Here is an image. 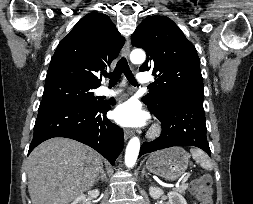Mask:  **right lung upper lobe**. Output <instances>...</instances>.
I'll list each match as a JSON object with an SVG mask.
<instances>
[{"mask_svg":"<svg viewBox=\"0 0 253 204\" xmlns=\"http://www.w3.org/2000/svg\"><path fill=\"white\" fill-rule=\"evenodd\" d=\"M124 38L102 13L84 16L59 43L45 83L68 81L88 87L101 85L99 74L118 56Z\"/></svg>","mask_w":253,"mask_h":204,"instance_id":"cb5924a9","label":"right lung upper lobe"}]
</instances>
